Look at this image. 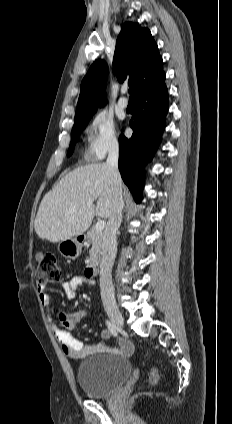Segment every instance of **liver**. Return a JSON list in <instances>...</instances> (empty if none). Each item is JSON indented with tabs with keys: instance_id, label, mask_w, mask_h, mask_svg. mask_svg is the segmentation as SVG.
<instances>
[{
	"instance_id": "1",
	"label": "liver",
	"mask_w": 232,
	"mask_h": 424,
	"mask_svg": "<svg viewBox=\"0 0 232 424\" xmlns=\"http://www.w3.org/2000/svg\"><path fill=\"white\" fill-rule=\"evenodd\" d=\"M113 192L114 185L106 163L74 169L43 197L34 223L36 234L53 243L83 234L94 216L103 219L111 216ZM72 208L76 210L71 212Z\"/></svg>"
}]
</instances>
